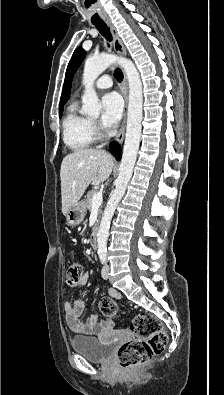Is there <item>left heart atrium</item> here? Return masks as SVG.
Here are the masks:
<instances>
[{
  "label": "left heart atrium",
  "instance_id": "obj_1",
  "mask_svg": "<svg viewBox=\"0 0 224 395\" xmlns=\"http://www.w3.org/2000/svg\"><path fill=\"white\" fill-rule=\"evenodd\" d=\"M102 105V124L106 128H112L118 123L122 116L123 101L119 94L110 92L103 96Z\"/></svg>",
  "mask_w": 224,
  "mask_h": 395
}]
</instances>
